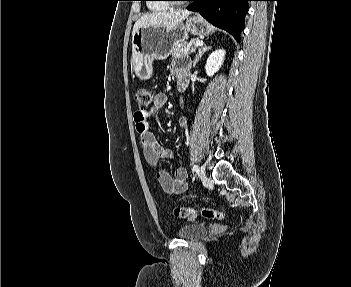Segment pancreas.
Here are the masks:
<instances>
[{"label": "pancreas", "instance_id": "cf45deb5", "mask_svg": "<svg viewBox=\"0 0 351 287\" xmlns=\"http://www.w3.org/2000/svg\"><path fill=\"white\" fill-rule=\"evenodd\" d=\"M198 41L195 40L193 42H186V41H182V42H179V43H176L173 47V50H172V58L173 59H177V58H182V57H188V55L192 52H194L196 50V48L198 46H195L194 43Z\"/></svg>", "mask_w": 351, "mask_h": 287}]
</instances>
